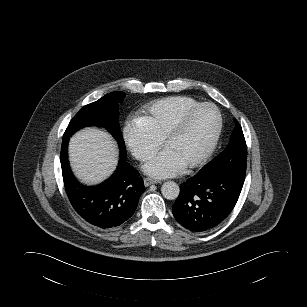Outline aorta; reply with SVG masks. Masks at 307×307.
Wrapping results in <instances>:
<instances>
[{
    "instance_id": "762f6f07",
    "label": "aorta",
    "mask_w": 307,
    "mask_h": 307,
    "mask_svg": "<svg viewBox=\"0 0 307 307\" xmlns=\"http://www.w3.org/2000/svg\"><path fill=\"white\" fill-rule=\"evenodd\" d=\"M161 192L164 198L174 200L179 196L180 188L174 181H167L162 185Z\"/></svg>"
}]
</instances>
